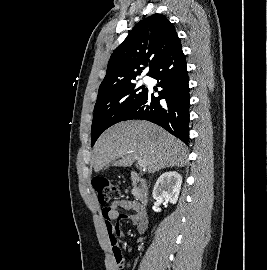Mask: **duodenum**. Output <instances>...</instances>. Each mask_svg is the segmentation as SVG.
<instances>
[{
  "instance_id": "duodenum-1",
  "label": "duodenum",
  "mask_w": 267,
  "mask_h": 270,
  "mask_svg": "<svg viewBox=\"0 0 267 270\" xmlns=\"http://www.w3.org/2000/svg\"><path fill=\"white\" fill-rule=\"evenodd\" d=\"M131 180L136 189L137 200L139 201L140 205L146 204L149 198V191L146 180L136 173H132Z\"/></svg>"
}]
</instances>
